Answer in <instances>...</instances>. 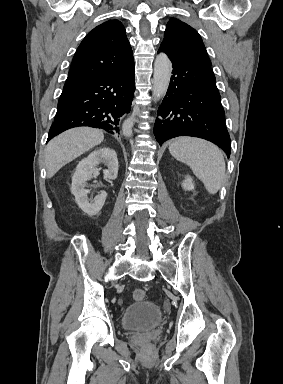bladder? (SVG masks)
I'll return each mask as SVG.
<instances>
[{
  "instance_id": "obj_1",
  "label": "bladder",
  "mask_w": 283,
  "mask_h": 384,
  "mask_svg": "<svg viewBox=\"0 0 283 384\" xmlns=\"http://www.w3.org/2000/svg\"><path fill=\"white\" fill-rule=\"evenodd\" d=\"M161 322V309L152 301L129 303L121 313V326L124 329L140 330L155 328Z\"/></svg>"
}]
</instances>
